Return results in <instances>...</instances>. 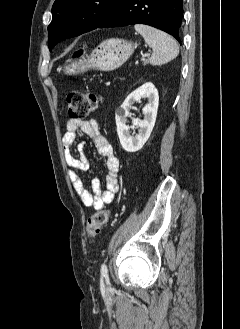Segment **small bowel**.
<instances>
[{
    "label": "small bowel",
    "instance_id": "small-bowel-1",
    "mask_svg": "<svg viewBox=\"0 0 240 329\" xmlns=\"http://www.w3.org/2000/svg\"><path fill=\"white\" fill-rule=\"evenodd\" d=\"M79 131L93 141L97 152L104 157V167L107 172L105 189L102 188L99 179H94L91 190H89L78 173V171H84L88 168V161L83 155V144L77 145V150L82 155L80 159L75 158L72 152V146L76 143ZM62 146L66 163L71 168L69 171L70 179L84 205L100 210L106 205L112 204L119 191V161L114 156L110 142L101 133L96 120H69L66 133L62 138Z\"/></svg>",
    "mask_w": 240,
    "mask_h": 329
}]
</instances>
